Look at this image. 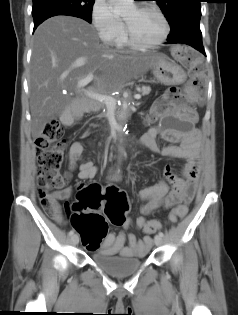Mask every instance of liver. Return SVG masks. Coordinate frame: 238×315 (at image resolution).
<instances>
[{"instance_id":"6515ba94","label":"liver","mask_w":238,"mask_h":315,"mask_svg":"<svg viewBox=\"0 0 238 315\" xmlns=\"http://www.w3.org/2000/svg\"><path fill=\"white\" fill-rule=\"evenodd\" d=\"M160 56L119 54L100 44L94 28L80 18L55 16L44 21L34 35L30 66L32 138L41 137L52 119L72 122L75 115L90 107L81 98L78 81L93 74L89 91L105 95L147 73Z\"/></svg>"}]
</instances>
